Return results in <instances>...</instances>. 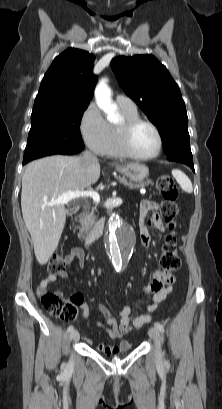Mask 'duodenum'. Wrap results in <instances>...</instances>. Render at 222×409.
<instances>
[{
	"label": "duodenum",
	"instance_id": "410a0bca",
	"mask_svg": "<svg viewBox=\"0 0 222 409\" xmlns=\"http://www.w3.org/2000/svg\"><path fill=\"white\" fill-rule=\"evenodd\" d=\"M79 209H80V206H79V205H76V206H74V207L71 208V212H72L73 214H74V213H77V212L79 211ZM103 228H104V223H103V222L98 223V224L93 228V230H92L91 233L89 234V237H88V240H87L88 245H91L93 242H95V241L100 237V235H101L102 232H103Z\"/></svg>",
	"mask_w": 222,
	"mask_h": 409
}]
</instances>
